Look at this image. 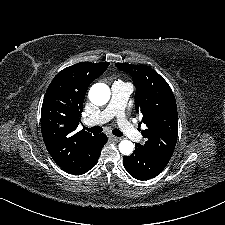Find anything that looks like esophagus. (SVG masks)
Listing matches in <instances>:
<instances>
[{"instance_id": "esophagus-1", "label": "esophagus", "mask_w": 225, "mask_h": 225, "mask_svg": "<svg viewBox=\"0 0 225 225\" xmlns=\"http://www.w3.org/2000/svg\"><path fill=\"white\" fill-rule=\"evenodd\" d=\"M109 138H110L111 140L117 141V142L122 140L121 137H116V136H113V135H110Z\"/></svg>"}]
</instances>
